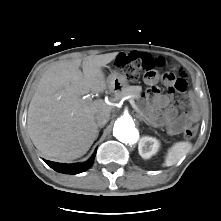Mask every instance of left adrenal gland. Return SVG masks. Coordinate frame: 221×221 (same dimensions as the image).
Here are the masks:
<instances>
[{"label":"left adrenal gland","mask_w":221,"mask_h":221,"mask_svg":"<svg viewBox=\"0 0 221 221\" xmlns=\"http://www.w3.org/2000/svg\"><path fill=\"white\" fill-rule=\"evenodd\" d=\"M138 118H139L140 120H143L146 124H148V122H146L142 117L138 116Z\"/></svg>","instance_id":"obj_1"}]
</instances>
